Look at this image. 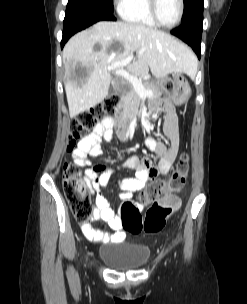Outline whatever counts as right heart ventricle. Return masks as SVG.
Returning a JSON list of instances; mask_svg holds the SVG:
<instances>
[{
  "instance_id": "right-heart-ventricle-1",
  "label": "right heart ventricle",
  "mask_w": 247,
  "mask_h": 304,
  "mask_svg": "<svg viewBox=\"0 0 247 304\" xmlns=\"http://www.w3.org/2000/svg\"><path fill=\"white\" fill-rule=\"evenodd\" d=\"M121 16L128 22L150 27L157 25L150 14L148 0H127L121 8Z\"/></svg>"
}]
</instances>
